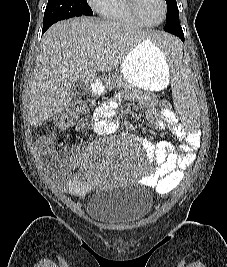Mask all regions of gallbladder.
I'll use <instances>...</instances> for the list:
<instances>
[{
    "instance_id": "bac80fb5",
    "label": "gallbladder",
    "mask_w": 227,
    "mask_h": 267,
    "mask_svg": "<svg viewBox=\"0 0 227 267\" xmlns=\"http://www.w3.org/2000/svg\"><path fill=\"white\" fill-rule=\"evenodd\" d=\"M88 90H89V86L87 84H84V83H82L80 81H76L71 86L72 98H74V99L80 98L83 95H85Z\"/></svg>"
}]
</instances>
